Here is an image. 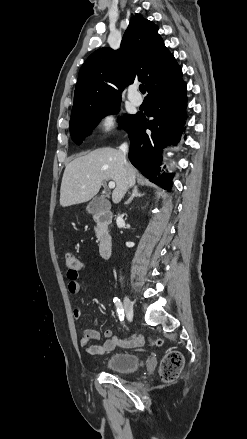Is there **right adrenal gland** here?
Wrapping results in <instances>:
<instances>
[{
	"mask_svg": "<svg viewBox=\"0 0 247 439\" xmlns=\"http://www.w3.org/2000/svg\"><path fill=\"white\" fill-rule=\"evenodd\" d=\"M144 194L139 192L138 186H134L131 197L125 202V205L131 203L134 197H142Z\"/></svg>",
	"mask_w": 247,
	"mask_h": 439,
	"instance_id": "right-adrenal-gland-1",
	"label": "right adrenal gland"
}]
</instances>
